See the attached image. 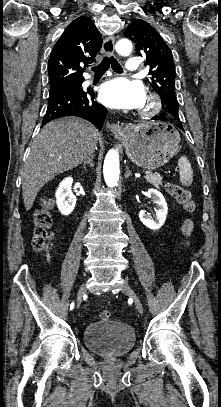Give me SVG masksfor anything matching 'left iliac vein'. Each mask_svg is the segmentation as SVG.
<instances>
[{"label":"left iliac vein","instance_id":"4c4485c4","mask_svg":"<svg viewBox=\"0 0 221 407\" xmlns=\"http://www.w3.org/2000/svg\"><path fill=\"white\" fill-rule=\"evenodd\" d=\"M122 291L128 294V296L134 301V304L137 308V310L142 314L143 313V306L138 298L137 294L134 292V290L129 286L128 283H124L122 286Z\"/></svg>","mask_w":221,"mask_h":407}]
</instances>
